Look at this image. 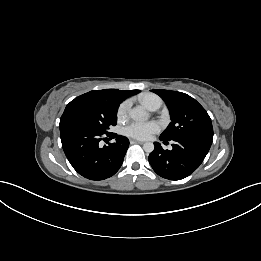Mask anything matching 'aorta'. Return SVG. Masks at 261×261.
<instances>
[{
  "instance_id": "aorta-1",
  "label": "aorta",
  "mask_w": 261,
  "mask_h": 261,
  "mask_svg": "<svg viewBox=\"0 0 261 261\" xmlns=\"http://www.w3.org/2000/svg\"><path fill=\"white\" fill-rule=\"evenodd\" d=\"M129 115L134 121H145L149 118L148 112L141 106H136L130 110ZM143 149L147 153H151L154 150V144L152 142H146L143 145Z\"/></svg>"
}]
</instances>
